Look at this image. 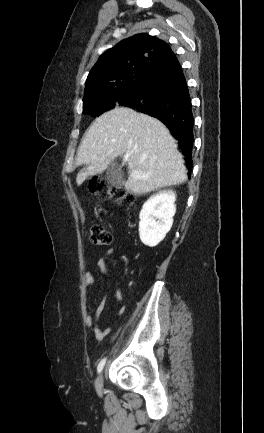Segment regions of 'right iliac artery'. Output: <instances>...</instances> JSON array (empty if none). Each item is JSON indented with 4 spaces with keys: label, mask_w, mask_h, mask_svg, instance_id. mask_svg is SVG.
<instances>
[{
    "label": "right iliac artery",
    "mask_w": 264,
    "mask_h": 433,
    "mask_svg": "<svg viewBox=\"0 0 264 433\" xmlns=\"http://www.w3.org/2000/svg\"><path fill=\"white\" fill-rule=\"evenodd\" d=\"M105 363H106V358H104L100 361V363L98 364V367H97L98 373H100L103 370Z\"/></svg>",
    "instance_id": "82829eb1"
}]
</instances>
